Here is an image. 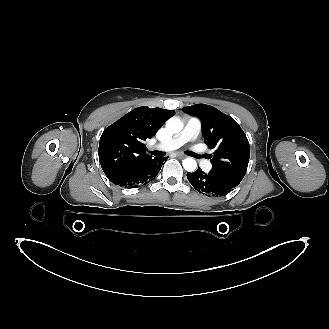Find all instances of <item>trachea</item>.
Returning <instances> with one entry per match:
<instances>
[{
	"mask_svg": "<svg viewBox=\"0 0 329 329\" xmlns=\"http://www.w3.org/2000/svg\"><path fill=\"white\" fill-rule=\"evenodd\" d=\"M154 156H156V157H162V156H164V153L163 152H161V151H153V152H151ZM198 156V155H197ZM196 157V156H195Z\"/></svg>",
	"mask_w": 329,
	"mask_h": 329,
	"instance_id": "1",
	"label": "trachea"
}]
</instances>
